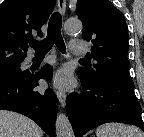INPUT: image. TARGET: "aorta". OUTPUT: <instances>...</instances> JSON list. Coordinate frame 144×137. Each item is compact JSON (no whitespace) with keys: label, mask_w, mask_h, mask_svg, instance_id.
Returning <instances> with one entry per match:
<instances>
[{"label":"aorta","mask_w":144,"mask_h":137,"mask_svg":"<svg viewBox=\"0 0 144 137\" xmlns=\"http://www.w3.org/2000/svg\"><path fill=\"white\" fill-rule=\"evenodd\" d=\"M64 28L68 33L78 32L82 29V23L79 20L69 19L65 22ZM55 128L57 137H74L71 123L63 113L57 115Z\"/></svg>","instance_id":"1"}]
</instances>
